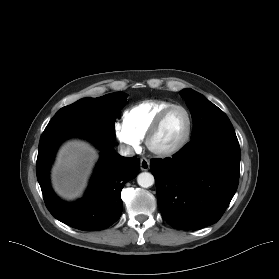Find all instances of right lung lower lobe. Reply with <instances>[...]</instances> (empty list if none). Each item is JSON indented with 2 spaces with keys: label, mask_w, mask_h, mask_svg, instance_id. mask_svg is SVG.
<instances>
[{
  "label": "right lung lower lobe",
  "mask_w": 279,
  "mask_h": 279,
  "mask_svg": "<svg viewBox=\"0 0 279 279\" xmlns=\"http://www.w3.org/2000/svg\"><path fill=\"white\" fill-rule=\"evenodd\" d=\"M71 136H83L102 150L89 189L81 200L72 204L61 201L49 184V169L56 149ZM109 139L83 123L61 125L42 133L36 163L37 179L48 210L59 221L79 230L96 231L108 228L121 216V190L126 182L136 177L140 160L121 157L107 149Z\"/></svg>",
  "instance_id": "1"
}]
</instances>
